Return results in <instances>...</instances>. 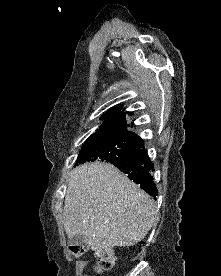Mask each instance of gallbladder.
<instances>
[{
	"label": "gallbladder",
	"mask_w": 221,
	"mask_h": 276,
	"mask_svg": "<svg viewBox=\"0 0 221 276\" xmlns=\"http://www.w3.org/2000/svg\"><path fill=\"white\" fill-rule=\"evenodd\" d=\"M69 245L83 246L85 245L84 239L80 235H75L68 239Z\"/></svg>",
	"instance_id": "1"
}]
</instances>
